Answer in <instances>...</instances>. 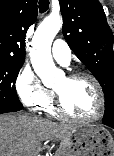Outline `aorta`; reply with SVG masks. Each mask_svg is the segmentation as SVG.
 Masks as SVG:
<instances>
[{
  "label": "aorta",
  "instance_id": "aorta-1",
  "mask_svg": "<svg viewBox=\"0 0 114 156\" xmlns=\"http://www.w3.org/2000/svg\"><path fill=\"white\" fill-rule=\"evenodd\" d=\"M61 27L62 18L51 15L38 26L32 39L31 63L34 71L46 86L52 85L62 74L60 70L56 69L51 55L53 39Z\"/></svg>",
  "mask_w": 114,
  "mask_h": 156
}]
</instances>
